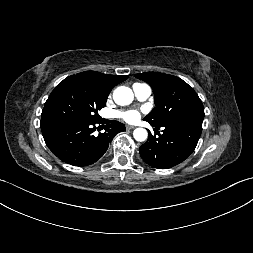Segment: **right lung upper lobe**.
Instances as JSON below:
<instances>
[{
    "label": "right lung upper lobe",
    "mask_w": 253,
    "mask_h": 253,
    "mask_svg": "<svg viewBox=\"0 0 253 253\" xmlns=\"http://www.w3.org/2000/svg\"><path fill=\"white\" fill-rule=\"evenodd\" d=\"M79 76L85 78L98 90L109 95L111 89L120 82L127 79V75H108L96 71H86L78 73Z\"/></svg>",
    "instance_id": "obj_1"
}]
</instances>
